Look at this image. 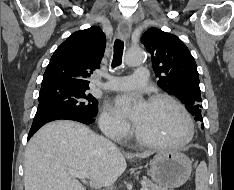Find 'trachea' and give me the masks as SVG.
I'll return each instance as SVG.
<instances>
[{"instance_id":"1","label":"trachea","mask_w":234,"mask_h":190,"mask_svg":"<svg viewBox=\"0 0 234 190\" xmlns=\"http://www.w3.org/2000/svg\"><path fill=\"white\" fill-rule=\"evenodd\" d=\"M124 50V42L116 39L114 43V54H113V61H112V68H115L122 63V55Z\"/></svg>"}]
</instances>
